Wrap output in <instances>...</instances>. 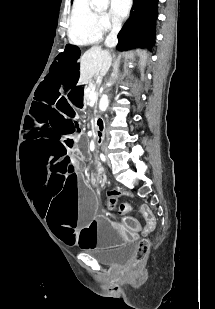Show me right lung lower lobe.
I'll list each match as a JSON object with an SVG mask.
<instances>
[{
	"label": "right lung lower lobe",
	"instance_id": "obj_1",
	"mask_svg": "<svg viewBox=\"0 0 215 309\" xmlns=\"http://www.w3.org/2000/svg\"><path fill=\"white\" fill-rule=\"evenodd\" d=\"M130 18L118 34L117 48L121 51L135 46H151L155 41V21L158 0H133Z\"/></svg>",
	"mask_w": 215,
	"mask_h": 309
}]
</instances>
